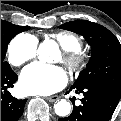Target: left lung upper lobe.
I'll return each instance as SVG.
<instances>
[{"label": "left lung upper lobe", "mask_w": 121, "mask_h": 121, "mask_svg": "<svg viewBox=\"0 0 121 121\" xmlns=\"http://www.w3.org/2000/svg\"><path fill=\"white\" fill-rule=\"evenodd\" d=\"M59 28L82 35L92 47L87 68L73 85H100L121 96V45L114 34L86 20L67 22Z\"/></svg>", "instance_id": "1"}]
</instances>
